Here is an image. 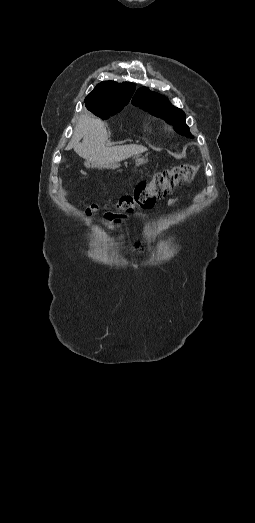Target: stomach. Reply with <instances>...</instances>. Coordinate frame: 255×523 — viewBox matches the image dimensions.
Returning <instances> with one entry per match:
<instances>
[{
	"label": "stomach",
	"mask_w": 255,
	"mask_h": 523,
	"mask_svg": "<svg viewBox=\"0 0 255 523\" xmlns=\"http://www.w3.org/2000/svg\"><path fill=\"white\" fill-rule=\"evenodd\" d=\"M135 164L136 166H141V164H146V160L144 158H136Z\"/></svg>",
	"instance_id": "0dacf381"
}]
</instances>
